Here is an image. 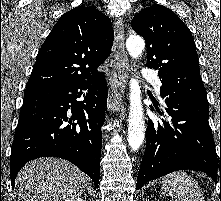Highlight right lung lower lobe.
Here are the masks:
<instances>
[{"label":"right lung lower lobe","instance_id":"obj_1","mask_svg":"<svg viewBox=\"0 0 221 201\" xmlns=\"http://www.w3.org/2000/svg\"><path fill=\"white\" fill-rule=\"evenodd\" d=\"M103 76L59 86H26L11 148L12 188L18 171L28 161L49 156L72 162L98 186L107 102ZM82 95L84 101H77Z\"/></svg>","mask_w":221,"mask_h":201}]
</instances>
